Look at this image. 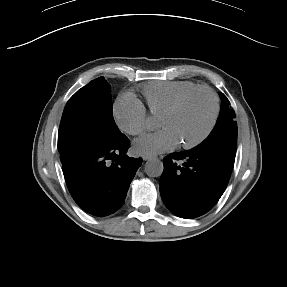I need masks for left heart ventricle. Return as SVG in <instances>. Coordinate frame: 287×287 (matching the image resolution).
<instances>
[{"mask_svg":"<svg viewBox=\"0 0 287 287\" xmlns=\"http://www.w3.org/2000/svg\"><path fill=\"white\" fill-rule=\"evenodd\" d=\"M211 114L212 101L206 93L200 92L192 96L176 114L161 117L160 126L172 130L179 143L189 142L204 132Z\"/></svg>","mask_w":287,"mask_h":287,"instance_id":"1","label":"left heart ventricle"}]
</instances>
